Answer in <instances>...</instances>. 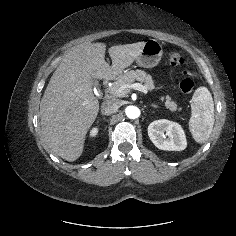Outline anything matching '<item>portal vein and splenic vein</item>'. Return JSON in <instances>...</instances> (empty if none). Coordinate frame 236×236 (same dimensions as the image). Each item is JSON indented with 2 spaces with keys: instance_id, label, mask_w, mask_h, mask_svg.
I'll return each instance as SVG.
<instances>
[{
  "instance_id": "portal-vein-and-splenic-vein-1",
  "label": "portal vein and splenic vein",
  "mask_w": 236,
  "mask_h": 236,
  "mask_svg": "<svg viewBox=\"0 0 236 236\" xmlns=\"http://www.w3.org/2000/svg\"><path fill=\"white\" fill-rule=\"evenodd\" d=\"M130 89H134V90H138V91H141L143 92L144 94L147 93V88L140 84V83H133V84H124L122 85L121 87H119L117 90H116V94L118 96H123L125 95L126 93L129 92Z\"/></svg>"
}]
</instances>
